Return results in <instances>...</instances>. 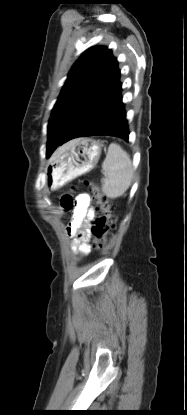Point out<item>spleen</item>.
<instances>
[{"label": "spleen", "instance_id": "1", "mask_svg": "<svg viewBox=\"0 0 187 415\" xmlns=\"http://www.w3.org/2000/svg\"><path fill=\"white\" fill-rule=\"evenodd\" d=\"M105 178L102 179V191L111 199L122 196L131 185L134 170L132 161L120 145L111 143L102 164Z\"/></svg>", "mask_w": 187, "mask_h": 415}]
</instances>
